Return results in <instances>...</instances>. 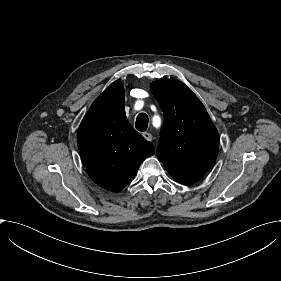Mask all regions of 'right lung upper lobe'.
Here are the masks:
<instances>
[{"label":"right lung upper lobe","instance_id":"cb5924a9","mask_svg":"<svg viewBox=\"0 0 281 281\" xmlns=\"http://www.w3.org/2000/svg\"><path fill=\"white\" fill-rule=\"evenodd\" d=\"M125 92L114 82L97 98L78 130V148L90 178L100 187L121 191L139 166L154 154L153 145L129 124Z\"/></svg>","mask_w":281,"mask_h":281}]
</instances>
